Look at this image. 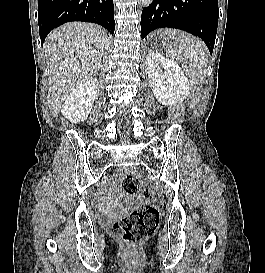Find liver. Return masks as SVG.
I'll use <instances>...</instances> for the list:
<instances>
[{"label": "liver", "mask_w": 265, "mask_h": 273, "mask_svg": "<svg viewBox=\"0 0 265 273\" xmlns=\"http://www.w3.org/2000/svg\"><path fill=\"white\" fill-rule=\"evenodd\" d=\"M108 48L107 33L90 23H66L47 36L44 49L50 70L48 103L54 117L69 94L98 73Z\"/></svg>", "instance_id": "obj_1"}]
</instances>
